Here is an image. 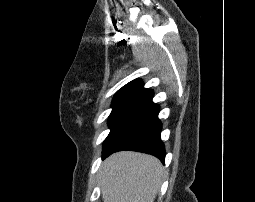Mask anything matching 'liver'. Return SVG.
Instances as JSON below:
<instances>
[{
  "mask_svg": "<svg viewBox=\"0 0 255 202\" xmlns=\"http://www.w3.org/2000/svg\"><path fill=\"white\" fill-rule=\"evenodd\" d=\"M161 162L147 154L122 151L101 166L103 202H154L163 178Z\"/></svg>",
  "mask_w": 255,
  "mask_h": 202,
  "instance_id": "liver-1",
  "label": "liver"
}]
</instances>
